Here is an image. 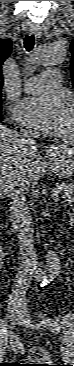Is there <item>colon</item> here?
<instances>
[{
    "mask_svg": "<svg viewBox=\"0 0 74 366\" xmlns=\"http://www.w3.org/2000/svg\"><path fill=\"white\" fill-rule=\"evenodd\" d=\"M33 357L43 359V356L40 353H35ZM28 366H49V365L47 363H38V364H28Z\"/></svg>",
    "mask_w": 74,
    "mask_h": 366,
    "instance_id": "colon-1",
    "label": "colon"
}]
</instances>
